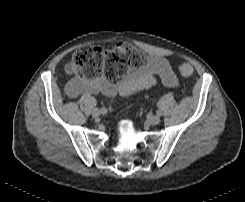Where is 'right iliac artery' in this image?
Wrapping results in <instances>:
<instances>
[{
    "mask_svg": "<svg viewBox=\"0 0 245 202\" xmlns=\"http://www.w3.org/2000/svg\"><path fill=\"white\" fill-rule=\"evenodd\" d=\"M101 109L104 112L103 114H105L107 112V110L105 108H101Z\"/></svg>",
    "mask_w": 245,
    "mask_h": 202,
    "instance_id": "1",
    "label": "right iliac artery"
}]
</instances>
